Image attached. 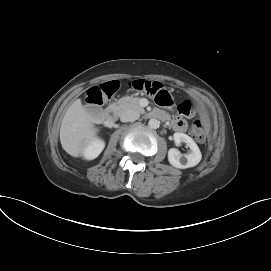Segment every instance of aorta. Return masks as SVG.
I'll return each instance as SVG.
<instances>
[{
    "label": "aorta",
    "instance_id": "aorta-1",
    "mask_svg": "<svg viewBox=\"0 0 271 271\" xmlns=\"http://www.w3.org/2000/svg\"><path fill=\"white\" fill-rule=\"evenodd\" d=\"M159 124L160 122L155 118H152L148 121V125L152 129H157L159 127Z\"/></svg>",
    "mask_w": 271,
    "mask_h": 271
}]
</instances>
